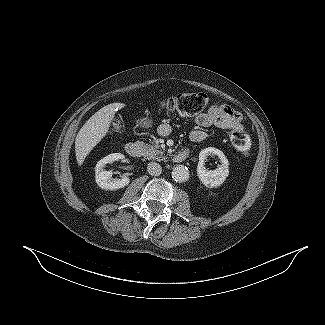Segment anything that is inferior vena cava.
Returning <instances> with one entry per match:
<instances>
[{
    "mask_svg": "<svg viewBox=\"0 0 325 325\" xmlns=\"http://www.w3.org/2000/svg\"><path fill=\"white\" fill-rule=\"evenodd\" d=\"M147 169L148 173L153 176H159L162 172V167L156 162H150Z\"/></svg>",
    "mask_w": 325,
    "mask_h": 325,
    "instance_id": "inferior-vena-cava-1",
    "label": "inferior vena cava"
}]
</instances>
